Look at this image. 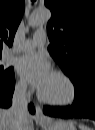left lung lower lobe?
Returning <instances> with one entry per match:
<instances>
[{
  "label": "left lung lower lobe",
  "instance_id": "left-lung-lower-lobe-1",
  "mask_svg": "<svg viewBox=\"0 0 95 130\" xmlns=\"http://www.w3.org/2000/svg\"><path fill=\"white\" fill-rule=\"evenodd\" d=\"M44 114L61 118H90L95 120V74L87 76L75 87L72 106L43 108Z\"/></svg>",
  "mask_w": 95,
  "mask_h": 130
}]
</instances>
